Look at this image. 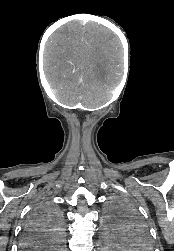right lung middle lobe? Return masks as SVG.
<instances>
[{"label":"right lung middle lobe","instance_id":"dd1d6c3e","mask_svg":"<svg viewBox=\"0 0 174 251\" xmlns=\"http://www.w3.org/2000/svg\"><path fill=\"white\" fill-rule=\"evenodd\" d=\"M28 226L38 236H44L50 240L52 248L62 245L61 230L63 217L61 211L48 202H40L33 209L29 218Z\"/></svg>","mask_w":174,"mask_h":251}]
</instances>
